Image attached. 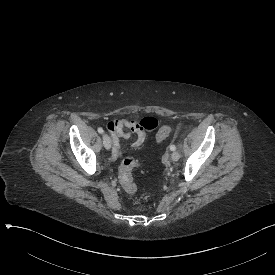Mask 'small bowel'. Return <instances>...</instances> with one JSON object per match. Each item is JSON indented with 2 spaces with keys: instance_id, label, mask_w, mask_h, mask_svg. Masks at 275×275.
I'll return each instance as SVG.
<instances>
[{
  "instance_id": "1",
  "label": "small bowel",
  "mask_w": 275,
  "mask_h": 275,
  "mask_svg": "<svg viewBox=\"0 0 275 275\" xmlns=\"http://www.w3.org/2000/svg\"><path fill=\"white\" fill-rule=\"evenodd\" d=\"M161 124L162 121L158 117H143L140 119L139 124L133 119L122 120L121 118H115L114 120H108L105 123V128L113 137L111 158L115 160L121 154L119 139L125 138L130 140L135 134L137 138L134 142V146L140 147L145 141V133L160 127Z\"/></svg>"
}]
</instances>
